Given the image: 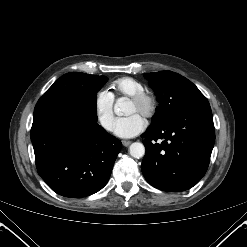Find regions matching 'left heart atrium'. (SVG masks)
<instances>
[{
    "label": "left heart atrium",
    "mask_w": 247,
    "mask_h": 247,
    "mask_svg": "<svg viewBox=\"0 0 247 247\" xmlns=\"http://www.w3.org/2000/svg\"><path fill=\"white\" fill-rule=\"evenodd\" d=\"M146 127V121L139 113H133L116 120L114 133L120 138H132Z\"/></svg>",
    "instance_id": "1"
}]
</instances>
